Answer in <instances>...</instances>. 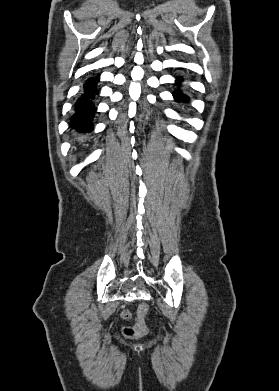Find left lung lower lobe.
<instances>
[{
	"label": "left lung lower lobe",
	"mask_w": 279,
	"mask_h": 391,
	"mask_svg": "<svg viewBox=\"0 0 279 391\" xmlns=\"http://www.w3.org/2000/svg\"><path fill=\"white\" fill-rule=\"evenodd\" d=\"M182 80H183V78H181V77H179L177 79L178 86H180ZM173 96H174L175 100H177L178 102H182V101L187 102L189 100V97L180 91L173 92Z\"/></svg>",
	"instance_id": "1"
}]
</instances>
